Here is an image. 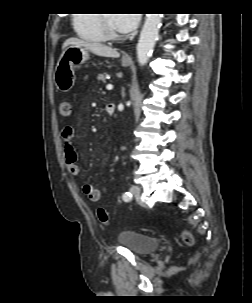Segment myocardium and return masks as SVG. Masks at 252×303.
I'll return each mask as SVG.
<instances>
[{
    "label": "myocardium",
    "instance_id": "f54148a6",
    "mask_svg": "<svg viewBox=\"0 0 252 303\" xmlns=\"http://www.w3.org/2000/svg\"><path fill=\"white\" fill-rule=\"evenodd\" d=\"M101 16V26H102V30L104 32V35L106 38L108 39H120L122 38V34L115 31L110 23H109V19L107 17V14H100Z\"/></svg>",
    "mask_w": 252,
    "mask_h": 303
}]
</instances>
